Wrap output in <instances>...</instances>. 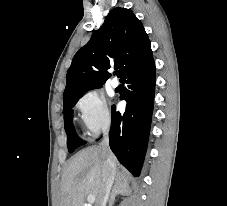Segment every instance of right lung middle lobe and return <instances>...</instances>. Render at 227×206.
<instances>
[{"instance_id":"right-lung-middle-lobe-1","label":"right lung middle lobe","mask_w":227,"mask_h":206,"mask_svg":"<svg viewBox=\"0 0 227 206\" xmlns=\"http://www.w3.org/2000/svg\"><path fill=\"white\" fill-rule=\"evenodd\" d=\"M75 95L69 98L63 99V114H64V123H65V130L68 136V150L72 153L77 147L83 145L85 142L82 141L75 132V128L72 122V113H73V106L77 102V100L83 95Z\"/></svg>"}]
</instances>
